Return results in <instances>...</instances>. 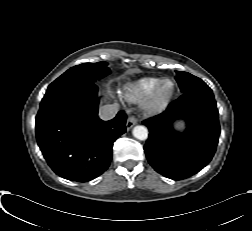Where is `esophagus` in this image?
<instances>
[{"label": "esophagus", "mask_w": 252, "mask_h": 231, "mask_svg": "<svg viewBox=\"0 0 252 231\" xmlns=\"http://www.w3.org/2000/svg\"><path fill=\"white\" fill-rule=\"evenodd\" d=\"M137 123V119L135 116H130L128 119H127V122H126V129L127 130H130L134 125H136Z\"/></svg>", "instance_id": "1"}]
</instances>
